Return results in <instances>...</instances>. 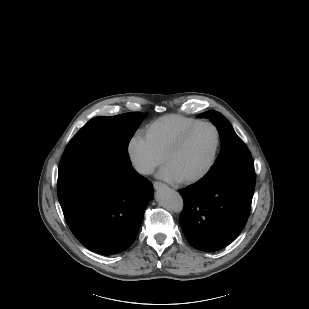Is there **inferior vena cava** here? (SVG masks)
I'll return each instance as SVG.
<instances>
[{"instance_id":"obj_1","label":"inferior vena cava","mask_w":309,"mask_h":309,"mask_svg":"<svg viewBox=\"0 0 309 309\" xmlns=\"http://www.w3.org/2000/svg\"><path fill=\"white\" fill-rule=\"evenodd\" d=\"M136 169L140 174H152L154 172V168L150 166H137Z\"/></svg>"}]
</instances>
